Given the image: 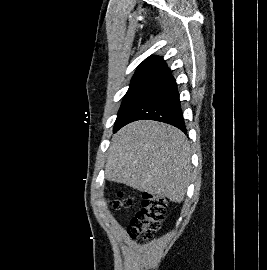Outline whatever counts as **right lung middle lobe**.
<instances>
[{
	"label": "right lung middle lobe",
	"instance_id": "dd1d6c3e",
	"mask_svg": "<svg viewBox=\"0 0 267 270\" xmlns=\"http://www.w3.org/2000/svg\"><path fill=\"white\" fill-rule=\"evenodd\" d=\"M155 76H143L131 80L130 87L124 96L114 124V132L121 127L125 116L141 95L147 90Z\"/></svg>",
	"mask_w": 267,
	"mask_h": 270
}]
</instances>
